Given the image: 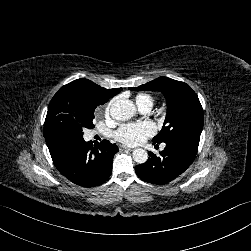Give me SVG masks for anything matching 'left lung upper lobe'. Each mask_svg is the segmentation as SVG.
I'll return each mask as SVG.
<instances>
[{"instance_id":"5c2ea615","label":"left lung upper lobe","mask_w":251,"mask_h":251,"mask_svg":"<svg viewBox=\"0 0 251 251\" xmlns=\"http://www.w3.org/2000/svg\"><path fill=\"white\" fill-rule=\"evenodd\" d=\"M134 91L162 92L167 101V115L160 133L153 138L154 143L167 142L174 138L186 137L200 140L203 129V109L196 93L184 82L167 77H159Z\"/></svg>"}]
</instances>
